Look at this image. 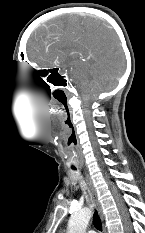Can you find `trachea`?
Listing matches in <instances>:
<instances>
[{
	"label": "trachea",
	"mask_w": 145,
	"mask_h": 233,
	"mask_svg": "<svg viewBox=\"0 0 145 233\" xmlns=\"http://www.w3.org/2000/svg\"><path fill=\"white\" fill-rule=\"evenodd\" d=\"M93 224L96 229H98L99 231H102V223L96 210L94 211V214H93Z\"/></svg>",
	"instance_id": "obj_1"
}]
</instances>
